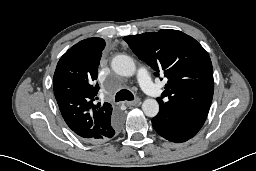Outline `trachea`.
Wrapping results in <instances>:
<instances>
[{
  "label": "trachea",
  "instance_id": "1",
  "mask_svg": "<svg viewBox=\"0 0 256 171\" xmlns=\"http://www.w3.org/2000/svg\"><path fill=\"white\" fill-rule=\"evenodd\" d=\"M124 100H128V101L134 100L133 94L127 89L120 90L115 96V102L124 101Z\"/></svg>",
  "mask_w": 256,
  "mask_h": 171
}]
</instances>
